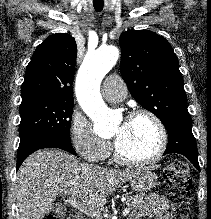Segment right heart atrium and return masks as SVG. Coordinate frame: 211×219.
<instances>
[{
    "label": "right heart atrium",
    "instance_id": "1",
    "mask_svg": "<svg viewBox=\"0 0 211 219\" xmlns=\"http://www.w3.org/2000/svg\"><path fill=\"white\" fill-rule=\"evenodd\" d=\"M70 139L74 149L87 161L100 162L111 150L109 142L100 138L90 122L77 113L71 118Z\"/></svg>",
    "mask_w": 211,
    "mask_h": 219
}]
</instances>
